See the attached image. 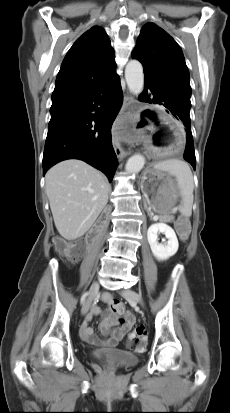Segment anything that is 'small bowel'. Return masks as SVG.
<instances>
[{
	"mask_svg": "<svg viewBox=\"0 0 230 413\" xmlns=\"http://www.w3.org/2000/svg\"><path fill=\"white\" fill-rule=\"evenodd\" d=\"M102 298L111 302L113 298L108 293H103ZM101 309L93 304L90 313L86 316L81 325V336L87 343L107 348H113L132 328L135 322V316L130 312H115L103 317L100 330L102 335H107L112 327H116L112 336L109 339H100L93 334L90 322L93 316L101 315Z\"/></svg>",
	"mask_w": 230,
	"mask_h": 413,
	"instance_id": "obj_1",
	"label": "small bowel"
}]
</instances>
